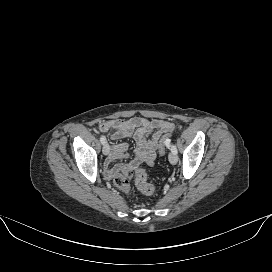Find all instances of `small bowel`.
I'll list each match as a JSON object with an SVG mask.
<instances>
[{
	"label": "small bowel",
	"instance_id": "small-bowel-1",
	"mask_svg": "<svg viewBox=\"0 0 272 272\" xmlns=\"http://www.w3.org/2000/svg\"><path fill=\"white\" fill-rule=\"evenodd\" d=\"M98 127L102 132H111L112 139L133 138L135 140V156L131 165H139L142 162L152 165L156 158L159 139L173 130V124L168 121L142 117L108 120L101 122ZM127 149L126 143L113 145L110 160L126 157ZM121 169L123 166L110 168L108 175Z\"/></svg>",
	"mask_w": 272,
	"mask_h": 272
}]
</instances>
